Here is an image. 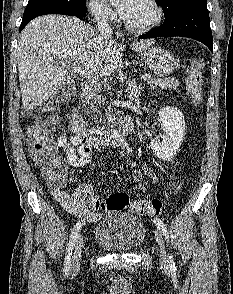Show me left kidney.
I'll return each instance as SVG.
<instances>
[{
    "instance_id": "obj_1",
    "label": "left kidney",
    "mask_w": 233,
    "mask_h": 294,
    "mask_svg": "<svg viewBox=\"0 0 233 294\" xmlns=\"http://www.w3.org/2000/svg\"><path fill=\"white\" fill-rule=\"evenodd\" d=\"M159 118L164 134L151 141L154 154L162 160H171L177 154L184 138L185 120L176 107H164L159 111Z\"/></svg>"
}]
</instances>
